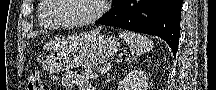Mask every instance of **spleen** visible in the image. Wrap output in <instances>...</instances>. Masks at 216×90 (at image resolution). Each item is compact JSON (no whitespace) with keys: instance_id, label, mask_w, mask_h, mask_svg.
I'll list each match as a JSON object with an SVG mask.
<instances>
[{"instance_id":"3e777b00","label":"spleen","mask_w":216,"mask_h":90,"mask_svg":"<svg viewBox=\"0 0 216 90\" xmlns=\"http://www.w3.org/2000/svg\"><path fill=\"white\" fill-rule=\"evenodd\" d=\"M120 38L123 42H127V44H129L131 52H133V54H137V56L146 54V52H150V50H153L154 48L151 40H149L147 36L136 34V32L122 30V32H120Z\"/></svg>"}]
</instances>
